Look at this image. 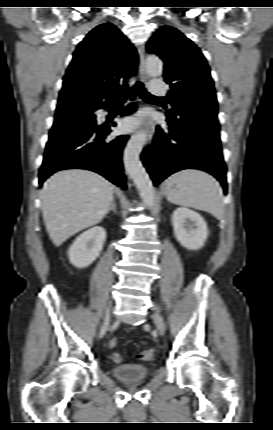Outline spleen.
Listing matches in <instances>:
<instances>
[{
	"label": "spleen",
	"instance_id": "obj_1",
	"mask_svg": "<svg viewBox=\"0 0 273 430\" xmlns=\"http://www.w3.org/2000/svg\"><path fill=\"white\" fill-rule=\"evenodd\" d=\"M165 184L169 202L209 212L218 219L223 218L222 192L211 175L196 169H184L169 176Z\"/></svg>",
	"mask_w": 273,
	"mask_h": 430
}]
</instances>
